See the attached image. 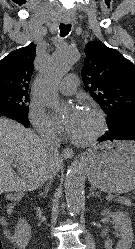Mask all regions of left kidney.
<instances>
[{"label": "left kidney", "instance_id": "obj_1", "mask_svg": "<svg viewBox=\"0 0 135 249\" xmlns=\"http://www.w3.org/2000/svg\"><path fill=\"white\" fill-rule=\"evenodd\" d=\"M102 215L112 217L113 223L120 233L121 241L119 242L117 249H130L134 239V234L131 219L127 216V214L121 211L112 213L109 210H105ZM105 249H113L112 242L110 240L105 241Z\"/></svg>", "mask_w": 135, "mask_h": 249}]
</instances>
